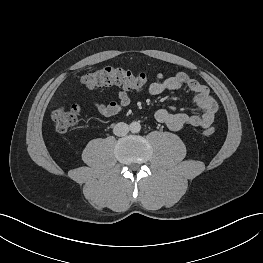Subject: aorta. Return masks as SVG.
Instances as JSON below:
<instances>
[{
    "label": "aorta",
    "instance_id": "762f6f07",
    "mask_svg": "<svg viewBox=\"0 0 263 263\" xmlns=\"http://www.w3.org/2000/svg\"><path fill=\"white\" fill-rule=\"evenodd\" d=\"M129 128L132 133H138L141 130V125L139 122L134 121L130 123Z\"/></svg>",
    "mask_w": 263,
    "mask_h": 263
}]
</instances>
